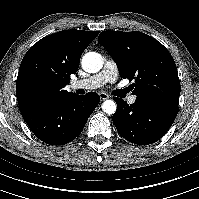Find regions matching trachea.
<instances>
[{
  "label": "trachea",
  "instance_id": "obj_1",
  "mask_svg": "<svg viewBox=\"0 0 199 199\" xmlns=\"http://www.w3.org/2000/svg\"><path fill=\"white\" fill-rule=\"evenodd\" d=\"M127 92H128V89L125 88V89H121V90L115 91L114 94H115L116 96L122 97V96H124Z\"/></svg>",
  "mask_w": 199,
  "mask_h": 199
}]
</instances>
